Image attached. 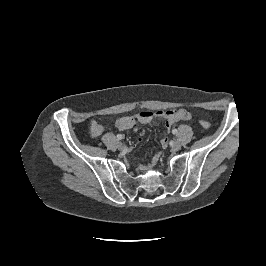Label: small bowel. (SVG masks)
Segmentation results:
<instances>
[{
    "instance_id": "1",
    "label": "small bowel",
    "mask_w": 266,
    "mask_h": 266,
    "mask_svg": "<svg viewBox=\"0 0 266 266\" xmlns=\"http://www.w3.org/2000/svg\"><path fill=\"white\" fill-rule=\"evenodd\" d=\"M192 118V114L185 109H171L168 111H144L135 115L123 116L116 121V127L120 131L136 129L140 124H152L163 119L166 130H169L175 123L179 121H188ZM103 126L96 120L90 125V134L93 138L101 136ZM163 147L168 145L167 137L161 139ZM158 156L153 158V164L157 161Z\"/></svg>"
}]
</instances>
